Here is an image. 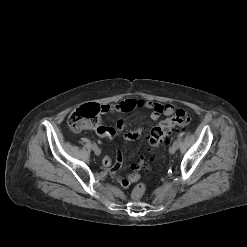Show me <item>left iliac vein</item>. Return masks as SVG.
I'll return each mask as SVG.
<instances>
[{"mask_svg": "<svg viewBox=\"0 0 247 247\" xmlns=\"http://www.w3.org/2000/svg\"><path fill=\"white\" fill-rule=\"evenodd\" d=\"M177 146L176 145H172L170 148H169V152L171 153V154H174L175 152H176V150H177Z\"/></svg>", "mask_w": 247, "mask_h": 247, "instance_id": "4c4485c4", "label": "left iliac vein"}]
</instances>
